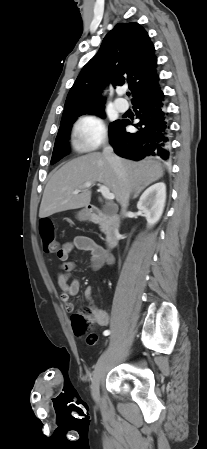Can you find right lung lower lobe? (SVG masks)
<instances>
[{"label":"right lung lower lobe","instance_id":"obj_1","mask_svg":"<svg viewBox=\"0 0 207 449\" xmlns=\"http://www.w3.org/2000/svg\"><path fill=\"white\" fill-rule=\"evenodd\" d=\"M134 111L140 121L135 133L125 131L128 120H120L109 133L114 152L125 158L141 160L147 156L169 158V125L164 110V94L160 88L151 95L133 101Z\"/></svg>","mask_w":207,"mask_h":449}]
</instances>
